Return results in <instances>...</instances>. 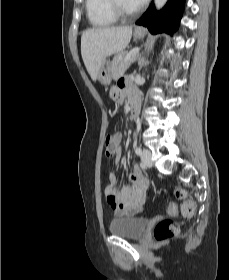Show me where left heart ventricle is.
I'll return each instance as SVG.
<instances>
[{
	"instance_id": "b2bd125f",
	"label": "left heart ventricle",
	"mask_w": 229,
	"mask_h": 280,
	"mask_svg": "<svg viewBox=\"0 0 229 280\" xmlns=\"http://www.w3.org/2000/svg\"><path fill=\"white\" fill-rule=\"evenodd\" d=\"M123 6L125 7V9H127L128 11H132L134 9H136L129 0H121Z\"/></svg>"
}]
</instances>
